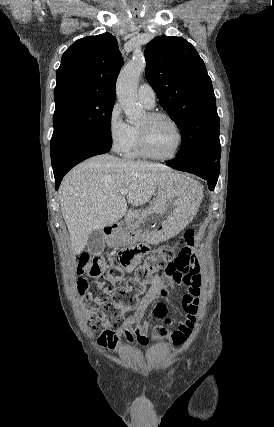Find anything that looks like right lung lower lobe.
I'll use <instances>...</instances> for the list:
<instances>
[{
    "mask_svg": "<svg viewBox=\"0 0 274 427\" xmlns=\"http://www.w3.org/2000/svg\"><path fill=\"white\" fill-rule=\"evenodd\" d=\"M111 146V141L92 140L69 151L62 159L52 165L56 190L58 189L63 176L72 167L89 157L108 152L111 149Z\"/></svg>",
    "mask_w": 274,
    "mask_h": 427,
    "instance_id": "obj_1",
    "label": "right lung lower lobe"
}]
</instances>
